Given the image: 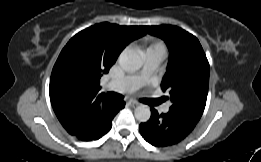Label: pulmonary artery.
Here are the masks:
<instances>
[{
	"instance_id": "1",
	"label": "pulmonary artery",
	"mask_w": 261,
	"mask_h": 162,
	"mask_svg": "<svg viewBox=\"0 0 261 162\" xmlns=\"http://www.w3.org/2000/svg\"><path fill=\"white\" fill-rule=\"evenodd\" d=\"M165 57V53L160 50L146 51L144 65L141 72L134 76H127L120 80H110L107 88L117 93H130L140 87L150 76V74L158 67ZM169 104L164 103L160 106L162 113H167Z\"/></svg>"
}]
</instances>
